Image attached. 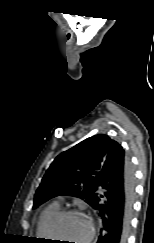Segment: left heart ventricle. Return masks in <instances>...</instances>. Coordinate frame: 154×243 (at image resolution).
<instances>
[{
	"instance_id": "b2bd125f",
	"label": "left heart ventricle",
	"mask_w": 154,
	"mask_h": 243,
	"mask_svg": "<svg viewBox=\"0 0 154 243\" xmlns=\"http://www.w3.org/2000/svg\"><path fill=\"white\" fill-rule=\"evenodd\" d=\"M89 231L88 221L79 215H71L62 219L56 227L55 236L63 239L61 243H83Z\"/></svg>"
}]
</instances>
